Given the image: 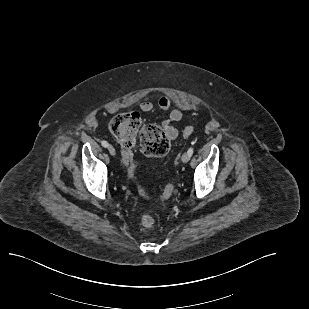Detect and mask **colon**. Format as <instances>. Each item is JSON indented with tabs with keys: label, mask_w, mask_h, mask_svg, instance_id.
Masks as SVG:
<instances>
[{
	"label": "colon",
	"mask_w": 309,
	"mask_h": 309,
	"mask_svg": "<svg viewBox=\"0 0 309 309\" xmlns=\"http://www.w3.org/2000/svg\"><path fill=\"white\" fill-rule=\"evenodd\" d=\"M109 129L114 137L126 149L125 160L128 165V174L135 182V164L131 154L132 148L139 150L147 156H163L170 147L169 139L165 131L156 124H145L137 112H125L113 116L109 121ZM193 133L191 127L185 129L184 136L188 137ZM137 192L144 197L147 193L135 182ZM172 187L167 186L159 196V200H166L172 195ZM144 227H152L155 218L151 213H145L141 217Z\"/></svg>",
	"instance_id": "obj_1"
}]
</instances>
